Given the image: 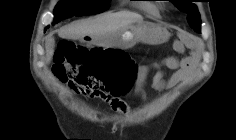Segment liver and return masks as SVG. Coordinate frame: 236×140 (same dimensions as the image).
I'll use <instances>...</instances> for the list:
<instances>
[{
    "label": "liver",
    "mask_w": 236,
    "mask_h": 140,
    "mask_svg": "<svg viewBox=\"0 0 236 140\" xmlns=\"http://www.w3.org/2000/svg\"><path fill=\"white\" fill-rule=\"evenodd\" d=\"M143 18L135 13L119 12L107 13L94 19H85L73 22L58 31V35L66 39H82L89 36L99 40L110 37L120 31L128 29L132 24L141 22ZM55 41L48 37L45 43L46 63H49L54 54Z\"/></svg>",
    "instance_id": "6515ba94"
}]
</instances>
